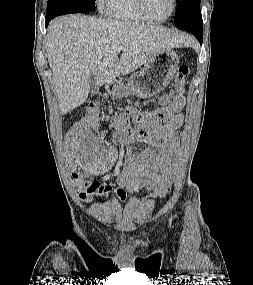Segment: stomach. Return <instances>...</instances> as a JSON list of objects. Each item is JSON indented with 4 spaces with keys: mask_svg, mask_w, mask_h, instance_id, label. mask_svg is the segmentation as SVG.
I'll return each instance as SVG.
<instances>
[{
    "mask_svg": "<svg viewBox=\"0 0 253 285\" xmlns=\"http://www.w3.org/2000/svg\"><path fill=\"white\" fill-rule=\"evenodd\" d=\"M179 64V57L170 48L158 52L149 60L140 73L132 75L126 85L116 81L108 83L107 93L114 98L137 95L140 98H149L164 90Z\"/></svg>",
    "mask_w": 253,
    "mask_h": 285,
    "instance_id": "0dacf381",
    "label": "stomach"
}]
</instances>
